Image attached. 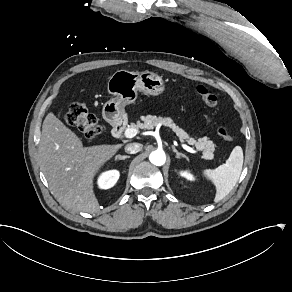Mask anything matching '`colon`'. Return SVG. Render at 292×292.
I'll return each mask as SVG.
<instances>
[{
  "label": "colon",
  "instance_id": "colon-1",
  "mask_svg": "<svg viewBox=\"0 0 292 292\" xmlns=\"http://www.w3.org/2000/svg\"><path fill=\"white\" fill-rule=\"evenodd\" d=\"M196 93L206 106L215 108L218 105L216 94L208 87L198 85ZM66 120L69 124L77 126L82 130L86 140H94L102 132V126L97 117L84 109L80 102H75L69 106ZM218 133L226 141H233L235 139V130L228 124H221L218 127Z\"/></svg>",
  "mask_w": 292,
  "mask_h": 292
}]
</instances>
